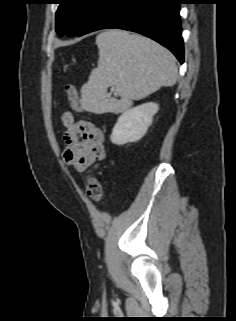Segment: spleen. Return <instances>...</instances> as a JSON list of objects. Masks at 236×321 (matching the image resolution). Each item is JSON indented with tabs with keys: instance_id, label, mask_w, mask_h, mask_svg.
<instances>
[{
	"instance_id": "spleen-1",
	"label": "spleen",
	"mask_w": 236,
	"mask_h": 321,
	"mask_svg": "<svg viewBox=\"0 0 236 321\" xmlns=\"http://www.w3.org/2000/svg\"><path fill=\"white\" fill-rule=\"evenodd\" d=\"M99 49L98 67L81 88L82 109L93 113H120L162 86L177 81L174 55L158 43L121 30H109L96 38ZM115 86L116 98L106 96Z\"/></svg>"
}]
</instances>
